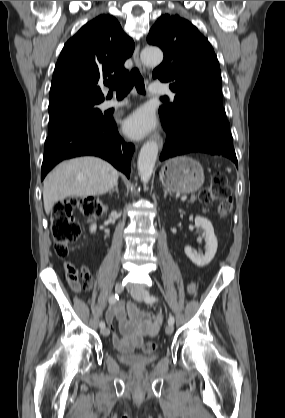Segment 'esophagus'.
<instances>
[{
    "label": "esophagus",
    "mask_w": 285,
    "mask_h": 418,
    "mask_svg": "<svg viewBox=\"0 0 285 418\" xmlns=\"http://www.w3.org/2000/svg\"><path fill=\"white\" fill-rule=\"evenodd\" d=\"M133 60H134L135 65L137 66V68L140 70V72L145 73V71H146L145 65L142 63V61L140 59V45H137L135 50H134ZM152 138L154 140H156L159 144V147L162 148V146H163L162 137L158 133H154L152 135Z\"/></svg>",
    "instance_id": "1"
}]
</instances>
